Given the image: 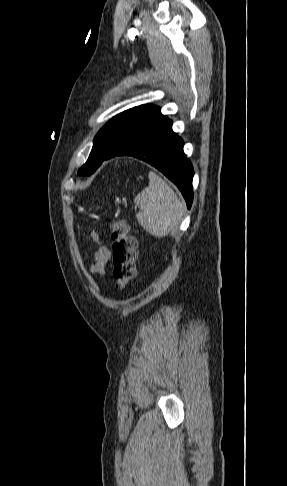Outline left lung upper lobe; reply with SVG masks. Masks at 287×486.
<instances>
[{
    "instance_id": "5c2ea615",
    "label": "left lung upper lobe",
    "mask_w": 287,
    "mask_h": 486,
    "mask_svg": "<svg viewBox=\"0 0 287 486\" xmlns=\"http://www.w3.org/2000/svg\"><path fill=\"white\" fill-rule=\"evenodd\" d=\"M167 120L159 107L148 104L116 115L96 135L90 156L78 175L89 176L105 160L139 148Z\"/></svg>"
}]
</instances>
